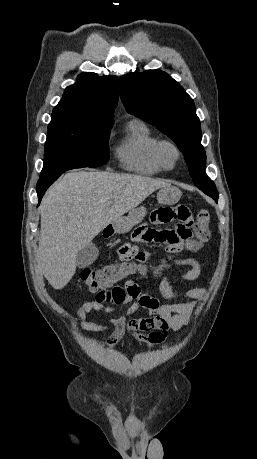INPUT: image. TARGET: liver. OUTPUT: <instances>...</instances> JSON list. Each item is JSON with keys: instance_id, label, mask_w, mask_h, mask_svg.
I'll use <instances>...</instances> for the list:
<instances>
[{"instance_id": "1", "label": "liver", "mask_w": 257, "mask_h": 459, "mask_svg": "<svg viewBox=\"0 0 257 459\" xmlns=\"http://www.w3.org/2000/svg\"><path fill=\"white\" fill-rule=\"evenodd\" d=\"M169 185L135 174L78 171L63 176L49 188L40 206L38 266L50 285L65 287L84 246L152 192Z\"/></svg>"}]
</instances>
